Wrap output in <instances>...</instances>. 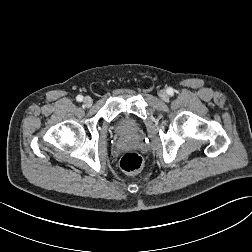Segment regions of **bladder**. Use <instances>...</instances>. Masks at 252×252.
I'll use <instances>...</instances> for the list:
<instances>
[{
	"mask_svg": "<svg viewBox=\"0 0 252 252\" xmlns=\"http://www.w3.org/2000/svg\"><path fill=\"white\" fill-rule=\"evenodd\" d=\"M133 129H134L133 126L129 122L125 121V120H121L119 122V124H118V131L120 133L126 134V133H129V132H132Z\"/></svg>",
	"mask_w": 252,
	"mask_h": 252,
	"instance_id": "31cf9c89",
	"label": "bladder"
}]
</instances>
